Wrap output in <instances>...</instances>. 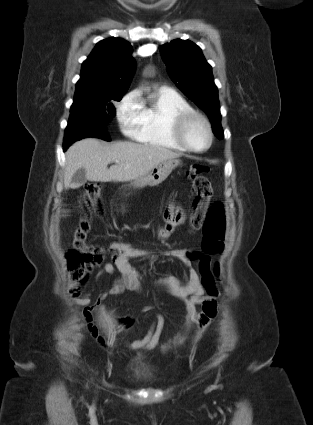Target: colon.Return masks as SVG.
<instances>
[{
    "mask_svg": "<svg viewBox=\"0 0 313 425\" xmlns=\"http://www.w3.org/2000/svg\"><path fill=\"white\" fill-rule=\"evenodd\" d=\"M207 165H192L186 172L190 181L194 200L192 202L191 227L203 228V242L200 250H189L187 258L196 263V268L201 275V282L205 296L217 300L220 291L216 279L220 274L219 265L211 267L210 256L223 251L226 220L222 204L218 201L208 206L213 195V187L206 174L210 173ZM103 186L100 183H90L84 188L86 203L99 208ZM90 230V219L83 217L73 230L71 249L67 254L68 269L73 279V292L79 291V282L86 275L95 262L99 249L86 243Z\"/></svg>",
    "mask_w": 313,
    "mask_h": 425,
    "instance_id": "1",
    "label": "colon"
}]
</instances>
